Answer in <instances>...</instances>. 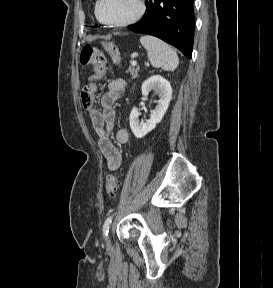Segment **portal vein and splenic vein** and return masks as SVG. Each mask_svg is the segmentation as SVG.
<instances>
[{
	"label": "portal vein and splenic vein",
	"instance_id": "obj_1",
	"mask_svg": "<svg viewBox=\"0 0 273 288\" xmlns=\"http://www.w3.org/2000/svg\"><path fill=\"white\" fill-rule=\"evenodd\" d=\"M131 65H132V66H136V65H137V62H136V61H132V62H131Z\"/></svg>",
	"mask_w": 273,
	"mask_h": 288
}]
</instances>
